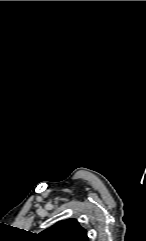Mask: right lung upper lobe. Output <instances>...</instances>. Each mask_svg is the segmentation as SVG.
Returning <instances> with one entry per match:
<instances>
[{
    "mask_svg": "<svg viewBox=\"0 0 146 241\" xmlns=\"http://www.w3.org/2000/svg\"><path fill=\"white\" fill-rule=\"evenodd\" d=\"M37 241H89L87 231L76 219L57 222L50 228L36 235Z\"/></svg>",
    "mask_w": 146,
    "mask_h": 241,
    "instance_id": "cb5924a9",
    "label": "right lung upper lobe"
}]
</instances>
